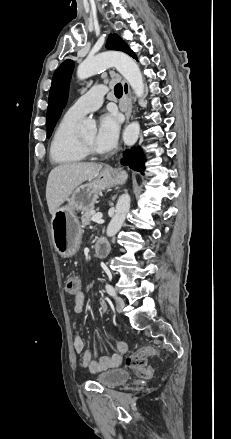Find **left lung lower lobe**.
Instances as JSON below:
<instances>
[{
    "mask_svg": "<svg viewBox=\"0 0 231 439\" xmlns=\"http://www.w3.org/2000/svg\"><path fill=\"white\" fill-rule=\"evenodd\" d=\"M134 58L137 59L136 56ZM144 162V154L142 153V150L138 147L126 150L123 154L121 164L124 166H129L132 170L143 173V171L145 170Z\"/></svg>",
    "mask_w": 231,
    "mask_h": 439,
    "instance_id": "0a47b994",
    "label": "left lung lower lobe"
}]
</instances>
